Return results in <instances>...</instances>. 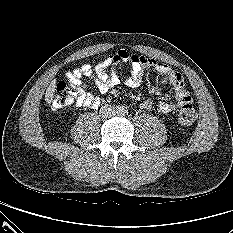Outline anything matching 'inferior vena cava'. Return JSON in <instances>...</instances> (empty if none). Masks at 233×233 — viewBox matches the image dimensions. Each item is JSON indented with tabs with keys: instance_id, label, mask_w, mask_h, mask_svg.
Masks as SVG:
<instances>
[{
	"instance_id": "602c4592",
	"label": "inferior vena cava",
	"mask_w": 233,
	"mask_h": 233,
	"mask_svg": "<svg viewBox=\"0 0 233 233\" xmlns=\"http://www.w3.org/2000/svg\"><path fill=\"white\" fill-rule=\"evenodd\" d=\"M113 112L114 111L111 109V112H109V114L106 115L105 111L104 110L102 111V113L105 114V117H111V116H113Z\"/></svg>"
}]
</instances>
